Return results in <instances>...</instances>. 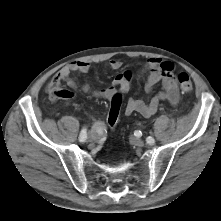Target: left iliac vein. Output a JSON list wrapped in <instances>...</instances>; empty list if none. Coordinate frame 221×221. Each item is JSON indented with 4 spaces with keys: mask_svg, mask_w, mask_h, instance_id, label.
<instances>
[{
    "mask_svg": "<svg viewBox=\"0 0 221 221\" xmlns=\"http://www.w3.org/2000/svg\"><path fill=\"white\" fill-rule=\"evenodd\" d=\"M131 142H132V144H134L136 146H139V147H142L144 145V141L142 139H140V138H137V137H133L131 139ZM154 143H155V140L153 138V144ZM153 144H151V145H153Z\"/></svg>",
    "mask_w": 221,
    "mask_h": 221,
    "instance_id": "4c4485c4",
    "label": "left iliac vein"
}]
</instances>
